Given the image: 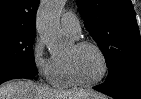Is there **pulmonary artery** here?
<instances>
[{
  "label": "pulmonary artery",
  "mask_w": 141,
  "mask_h": 99,
  "mask_svg": "<svg viewBox=\"0 0 141 99\" xmlns=\"http://www.w3.org/2000/svg\"><path fill=\"white\" fill-rule=\"evenodd\" d=\"M62 29L74 37H79L81 33V26L78 18L71 12H66L61 18Z\"/></svg>",
  "instance_id": "e3ab8cb5"
}]
</instances>
